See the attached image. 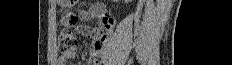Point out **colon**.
Returning <instances> with one entry per match:
<instances>
[{
	"label": "colon",
	"mask_w": 232,
	"mask_h": 65,
	"mask_svg": "<svg viewBox=\"0 0 232 65\" xmlns=\"http://www.w3.org/2000/svg\"><path fill=\"white\" fill-rule=\"evenodd\" d=\"M77 45L76 35L69 29H64L58 38V48L60 53L65 54L73 51Z\"/></svg>",
	"instance_id": "1"
}]
</instances>
